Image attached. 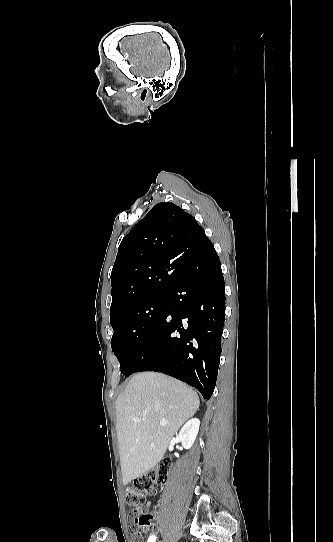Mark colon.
I'll return each instance as SVG.
<instances>
[{"label": "colon", "mask_w": 333, "mask_h": 542, "mask_svg": "<svg viewBox=\"0 0 333 542\" xmlns=\"http://www.w3.org/2000/svg\"><path fill=\"white\" fill-rule=\"evenodd\" d=\"M169 468L170 462L168 460L162 461L151 468L146 475L139 477L134 485L127 489L126 503L131 507L129 516L132 528H135V526L143 528L145 524L148 525L150 517L147 513L150 506L146 502V497L147 495H156L158 489L166 482ZM132 536L134 539L139 540L142 538L143 533L141 530L136 529L133 531Z\"/></svg>", "instance_id": "1"}]
</instances>
